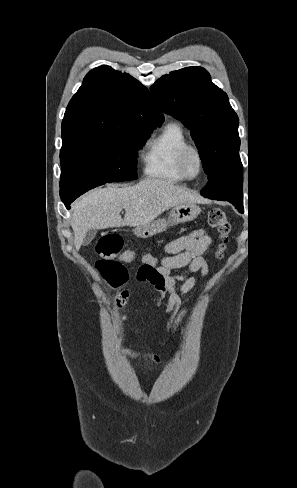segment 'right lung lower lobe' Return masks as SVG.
<instances>
[{"mask_svg": "<svg viewBox=\"0 0 297 488\" xmlns=\"http://www.w3.org/2000/svg\"><path fill=\"white\" fill-rule=\"evenodd\" d=\"M64 204H65V206H66V208H67V209H69V208H70V206H69V205H70V203H64Z\"/></svg>", "mask_w": 297, "mask_h": 488, "instance_id": "1", "label": "right lung lower lobe"}]
</instances>
